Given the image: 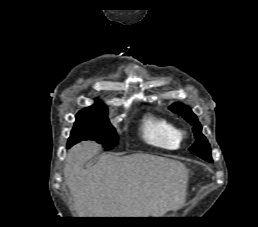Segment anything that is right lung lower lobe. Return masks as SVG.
<instances>
[{
  "label": "right lung lower lobe",
  "instance_id": "right-lung-lower-lobe-1",
  "mask_svg": "<svg viewBox=\"0 0 258 227\" xmlns=\"http://www.w3.org/2000/svg\"><path fill=\"white\" fill-rule=\"evenodd\" d=\"M70 147H71V146H68V145H67V148H70Z\"/></svg>",
  "mask_w": 258,
  "mask_h": 227
}]
</instances>
